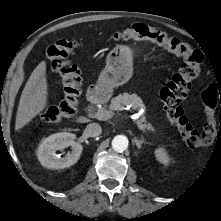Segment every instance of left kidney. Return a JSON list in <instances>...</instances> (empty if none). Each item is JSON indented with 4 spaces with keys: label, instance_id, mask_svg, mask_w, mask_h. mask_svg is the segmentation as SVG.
Here are the masks:
<instances>
[{
    "label": "left kidney",
    "instance_id": "1",
    "mask_svg": "<svg viewBox=\"0 0 221 221\" xmlns=\"http://www.w3.org/2000/svg\"><path fill=\"white\" fill-rule=\"evenodd\" d=\"M155 157L160 163L164 165H168L171 160L168 153L166 152L164 148H157L155 150Z\"/></svg>",
    "mask_w": 221,
    "mask_h": 221
}]
</instances>
